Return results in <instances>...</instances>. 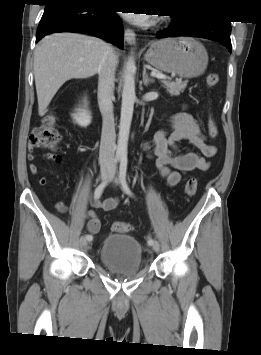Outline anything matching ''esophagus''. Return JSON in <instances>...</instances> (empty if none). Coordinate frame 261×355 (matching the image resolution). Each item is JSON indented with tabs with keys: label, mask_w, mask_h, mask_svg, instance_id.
<instances>
[{
	"label": "esophagus",
	"mask_w": 261,
	"mask_h": 355,
	"mask_svg": "<svg viewBox=\"0 0 261 355\" xmlns=\"http://www.w3.org/2000/svg\"><path fill=\"white\" fill-rule=\"evenodd\" d=\"M135 33L132 29L126 28L125 32H124V38L126 40L127 43L129 44H134L135 43Z\"/></svg>",
	"instance_id": "34e87169"
}]
</instances>
